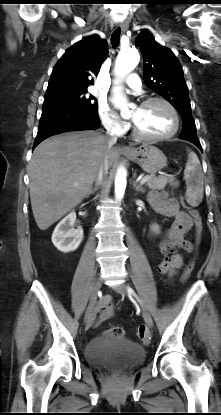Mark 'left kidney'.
<instances>
[{"instance_id": "left-kidney-1", "label": "left kidney", "mask_w": 221, "mask_h": 415, "mask_svg": "<svg viewBox=\"0 0 221 415\" xmlns=\"http://www.w3.org/2000/svg\"><path fill=\"white\" fill-rule=\"evenodd\" d=\"M150 228L154 233L159 234L160 229H159V226L157 224H152Z\"/></svg>"}]
</instances>
